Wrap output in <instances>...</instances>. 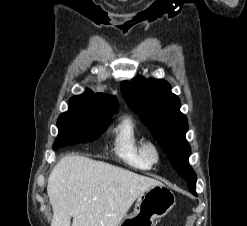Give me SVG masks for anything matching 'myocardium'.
I'll use <instances>...</instances> for the list:
<instances>
[{"mask_svg":"<svg viewBox=\"0 0 247 226\" xmlns=\"http://www.w3.org/2000/svg\"><path fill=\"white\" fill-rule=\"evenodd\" d=\"M145 153L151 163H157L160 160V151L158 147L150 141L145 142Z\"/></svg>","mask_w":247,"mask_h":226,"instance_id":"myocardium-1","label":"myocardium"}]
</instances>
